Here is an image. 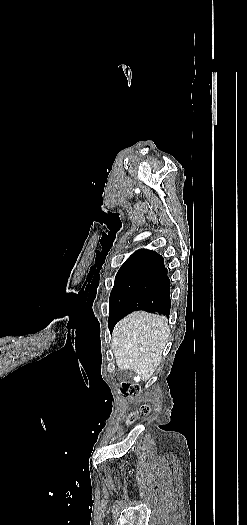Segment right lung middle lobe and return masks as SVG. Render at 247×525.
<instances>
[{
	"instance_id": "obj_1",
	"label": "right lung middle lobe",
	"mask_w": 247,
	"mask_h": 525,
	"mask_svg": "<svg viewBox=\"0 0 247 525\" xmlns=\"http://www.w3.org/2000/svg\"><path fill=\"white\" fill-rule=\"evenodd\" d=\"M155 259L156 258L151 259L149 263L143 267L119 271L117 273L109 300V327L119 318L120 309L125 299L135 288L138 281L147 273Z\"/></svg>"
}]
</instances>
